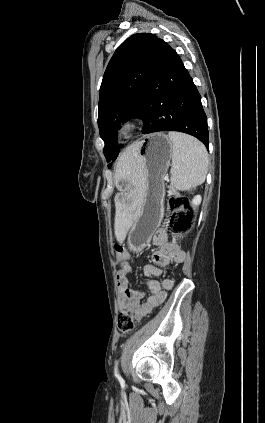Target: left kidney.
I'll return each instance as SVG.
<instances>
[{
	"instance_id": "left-kidney-1",
	"label": "left kidney",
	"mask_w": 265,
	"mask_h": 423,
	"mask_svg": "<svg viewBox=\"0 0 265 423\" xmlns=\"http://www.w3.org/2000/svg\"><path fill=\"white\" fill-rule=\"evenodd\" d=\"M201 200L202 198L200 195L195 196L191 201L192 207H197L201 203Z\"/></svg>"
}]
</instances>
